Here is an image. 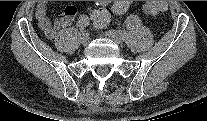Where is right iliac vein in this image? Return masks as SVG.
<instances>
[{
	"label": "right iliac vein",
	"instance_id": "1",
	"mask_svg": "<svg viewBox=\"0 0 207 121\" xmlns=\"http://www.w3.org/2000/svg\"><path fill=\"white\" fill-rule=\"evenodd\" d=\"M89 42H90L89 34H87V33L83 34V36L81 38L82 45L86 46L89 44Z\"/></svg>",
	"mask_w": 207,
	"mask_h": 121
}]
</instances>
